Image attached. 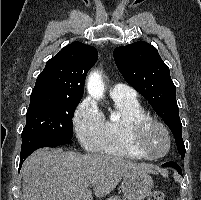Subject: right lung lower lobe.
Segmentation results:
<instances>
[{
	"label": "right lung lower lobe",
	"instance_id": "obj_1",
	"mask_svg": "<svg viewBox=\"0 0 201 200\" xmlns=\"http://www.w3.org/2000/svg\"><path fill=\"white\" fill-rule=\"evenodd\" d=\"M72 143L71 139H65L46 134H31L22 137V146L20 152L19 171L23 161L36 149L42 147H57L59 145Z\"/></svg>",
	"mask_w": 201,
	"mask_h": 200
}]
</instances>
